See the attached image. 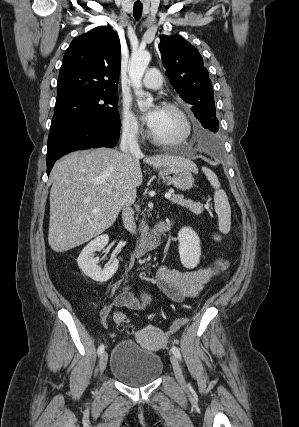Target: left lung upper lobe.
<instances>
[{
    "mask_svg": "<svg viewBox=\"0 0 299 427\" xmlns=\"http://www.w3.org/2000/svg\"><path fill=\"white\" fill-rule=\"evenodd\" d=\"M159 50L173 88L185 102L192 105L191 110L196 118L200 122L205 121V129L216 133L219 121L214 92L199 51L177 35H161Z\"/></svg>",
    "mask_w": 299,
    "mask_h": 427,
    "instance_id": "1",
    "label": "left lung upper lobe"
}]
</instances>
